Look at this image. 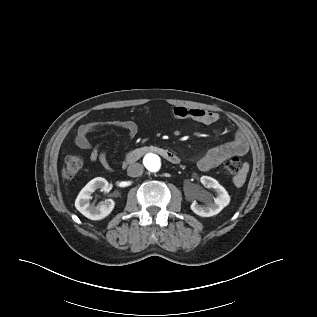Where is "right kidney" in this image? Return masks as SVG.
<instances>
[{"mask_svg": "<svg viewBox=\"0 0 317 317\" xmlns=\"http://www.w3.org/2000/svg\"><path fill=\"white\" fill-rule=\"evenodd\" d=\"M97 189L107 192L108 181L102 177L94 178L85 185L75 200L76 209L91 220H101L107 217L115 206V202L112 199H106L98 205H91L89 203L91 194Z\"/></svg>", "mask_w": 317, "mask_h": 317, "instance_id": "1", "label": "right kidney"}]
</instances>
